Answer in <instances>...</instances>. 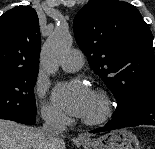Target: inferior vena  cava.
<instances>
[{"mask_svg": "<svg viewBox=\"0 0 155 149\" xmlns=\"http://www.w3.org/2000/svg\"><path fill=\"white\" fill-rule=\"evenodd\" d=\"M42 118L46 149H58L57 146L63 143L62 134L66 128L63 115L56 111H48L42 114Z\"/></svg>", "mask_w": 155, "mask_h": 149, "instance_id": "inferior-vena-cava-1", "label": "inferior vena cava"}]
</instances>
